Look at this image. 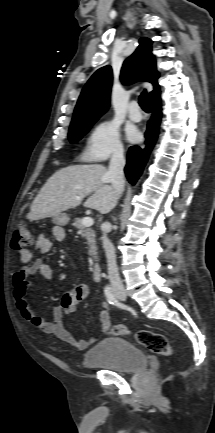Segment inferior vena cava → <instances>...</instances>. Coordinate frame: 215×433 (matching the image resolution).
I'll return each mask as SVG.
<instances>
[{"instance_id":"602c4592","label":"inferior vena cava","mask_w":215,"mask_h":433,"mask_svg":"<svg viewBox=\"0 0 215 433\" xmlns=\"http://www.w3.org/2000/svg\"><path fill=\"white\" fill-rule=\"evenodd\" d=\"M124 152L122 149L116 150L110 160L109 169L107 171V179L112 184L118 195L124 191ZM102 243L103 248L106 253L107 267H108V277L111 282V286L115 292H123L124 286L119 276L115 249L111 241L107 237V233L111 231V224L106 223L102 229Z\"/></svg>"}]
</instances>
